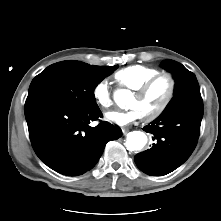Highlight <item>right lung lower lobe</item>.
Instances as JSON below:
<instances>
[{"label": "right lung lower lobe", "instance_id": "obj_1", "mask_svg": "<svg viewBox=\"0 0 221 221\" xmlns=\"http://www.w3.org/2000/svg\"><path fill=\"white\" fill-rule=\"evenodd\" d=\"M102 116L99 107L81 110L54 102L25 103L34 151L48 167L67 176L92 169L106 143L121 137V129L108 122L88 125Z\"/></svg>", "mask_w": 221, "mask_h": 221}]
</instances>
